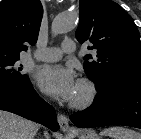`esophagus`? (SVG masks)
Wrapping results in <instances>:
<instances>
[{"label": "esophagus", "instance_id": "34e87169", "mask_svg": "<svg viewBox=\"0 0 141 139\" xmlns=\"http://www.w3.org/2000/svg\"><path fill=\"white\" fill-rule=\"evenodd\" d=\"M57 119H58L60 128L63 132H69L72 130L67 116H65L64 114H58Z\"/></svg>", "mask_w": 141, "mask_h": 139}]
</instances>
